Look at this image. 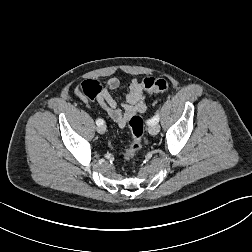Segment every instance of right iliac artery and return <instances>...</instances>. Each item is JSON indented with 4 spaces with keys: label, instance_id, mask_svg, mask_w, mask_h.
Returning a JSON list of instances; mask_svg holds the SVG:
<instances>
[{
    "label": "right iliac artery",
    "instance_id": "obj_1",
    "mask_svg": "<svg viewBox=\"0 0 252 252\" xmlns=\"http://www.w3.org/2000/svg\"><path fill=\"white\" fill-rule=\"evenodd\" d=\"M96 124L99 126V125H102L104 124V121L102 119H97L96 120Z\"/></svg>",
    "mask_w": 252,
    "mask_h": 252
}]
</instances>
